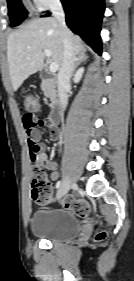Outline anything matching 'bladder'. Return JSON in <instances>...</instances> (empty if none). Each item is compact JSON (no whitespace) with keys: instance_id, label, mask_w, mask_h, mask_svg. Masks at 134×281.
Returning <instances> with one entry per match:
<instances>
[{"instance_id":"1","label":"bladder","mask_w":134,"mask_h":281,"mask_svg":"<svg viewBox=\"0 0 134 281\" xmlns=\"http://www.w3.org/2000/svg\"><path fill=\"white\" fill-rule=\"evenodd\" d=\"M30 228L35 237L56 242L76 238L83 224L73 211L56 208L36 211L31 218Z\"/></svg>"}]
</instances>
